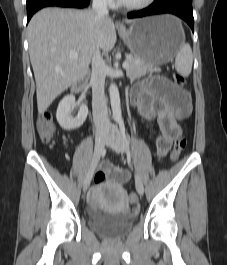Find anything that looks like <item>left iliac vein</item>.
<instances>
[{
  "instance_id": "4c4485c4",
  "label": "left iliac vein",
  "mask_w": 227,
  "mask_h": 265,
  "mask_svg": "<svg viewBox=\"0 0 227 265\" xmlns=\"http://www.w3.org/2000/svg\"><path fill=\"white\" fill-rule=\"evenodd\" d=\"M116 133L108 138V145L117 153L125 154L127 152V146L122 138L121 134L116 130ZM135 186L140 196L144 193V186L140 176L135 173Z\"/></svg>"
}]
</instances>
